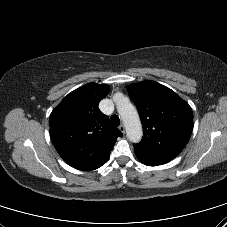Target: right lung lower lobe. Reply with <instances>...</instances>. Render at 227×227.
I'll return each mask as SVG.
<instances>
[{
    "instance_id": "1",
    "label": "right lung lower lobe",
    "mask_w": 227,
    "mask_h": 227,
    "mask_svg": "<svg viewBox=\"0 0 227 227\" xmlns=\"http://www.w3.org/2000/svg\"><path fill=\"white\" fill-rule=\"evenodd\" d=\"M107 160H108V159H106V160L101 164V166H102L103 164H105ZM101 166H100V167H101Z\"/></svg>"
}]
</instances>
